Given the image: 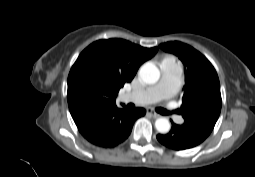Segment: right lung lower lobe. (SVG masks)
<instances>
[{"label": "right lung lower lobe", "mask_w": 255, "mask_h": 177, "mask_svg": "<svg viewBox=\"0 0 255 177\" xmlns=\"http://www.w3.org/2000/svg\"><path fill=\"white\" fill-rule=\"evenodd\" d=\"M145 115V109L127 110L115 105L86 111L73 120L85 139L90 143L112 148L125 141L135 120Z\"/></svg>", "instance_id": "98d812e1"}]
</instances>
